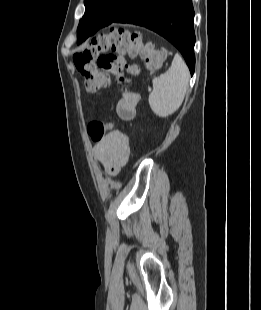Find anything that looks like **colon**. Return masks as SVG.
I'll use <instances>...</instances> for the list:
<instances>
[{"mask_svg": "<svg viewBox=\"0 0 261 310\" xmlns=\"http://www.w3.org/2000/svg\"><path fill=\"white\" fill-rule=\"evenodd\" d=\"M125 56L141 57L147 72L157 71L163 64L164 55L150 45H143L138 34L115 28L98 35L83 50L74 54L73 60L77 71L83 76L89 92H96L110 83V76L115 77L118 85L129 83L126 73L138 75L137 65L128 64ZM108 125L94 120L88 125V132L93 139L106 135Z\"/></svg>", "mask_w": 261, "mask_h": 310, "instance_id": "1", "label": "colon"}]
</instances>
